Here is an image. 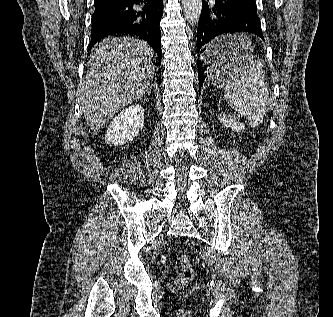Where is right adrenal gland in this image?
Here are the masks:
<instances>
[{"instance_id":"right-adrenal-gland-1","label":"right adrenal gland","mask_w":333,"mask_h":317,"mask_svg":"<svg viewBox=\"0 0 333 317\" xmlns=\"http://www.w3.org/2000/svg\"><path fill=\"white\" fill-rule=\"evenodd\" d=\"M147 94L150 95V91H148Z\"/></svg>"}]
</instances>
